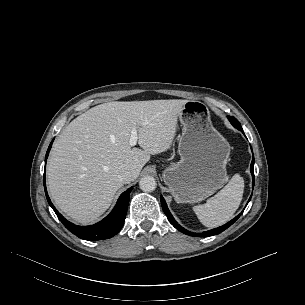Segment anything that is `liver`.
I'll return each instance as SVG.
<instances>
[{"mask_svg": "<svg viewBox=\"0 0 305 305\" xmlns=\"http://www.w3.org/2000/svg\"><path fill=\"white\" fill-rule=\"evenodd\" d=\"M187 100L108 102L75 118L58 136L47 163V184L58 208L72 220L89 224L111 205L123 186L122 170L134 181L150 155L166 151ZM136 128L138 144H129Z\"/></svg>", "mask_w": 305, "mask_h": 305, "instance_id": "obj_1", "label": "liver"}]
</instances>
